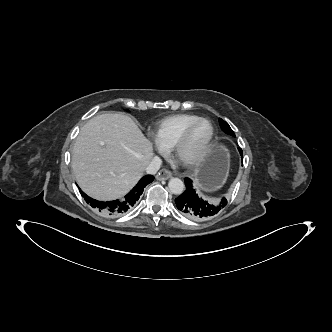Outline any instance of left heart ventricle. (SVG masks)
I'll use <instances>...</instances> for the list:
<instances>
[{
    "label": "left heart ventricle",
    "instance_id": "left-heart-ventricle-1",
    "mask_svg": "<svg viewBox=\"0 0 332 332\" xmlns=\"http://www.w3.org/2000/svg\"><path fill=\"white\" fill-rule=\"evenodd\" d=\"M210 134V126L207 122L199 123L189 135L185 145L182 148L181 155L188 159L195 155L204 145Z\"/></svg>",
    "mask_w": 332,
    "mask_h": 332
}]
</instances>
